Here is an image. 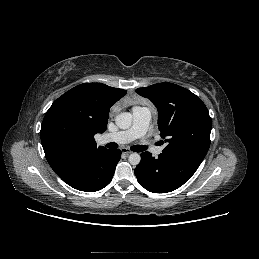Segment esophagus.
Returning a JSON list of instances; mask_svg holds the SVG:
<instances>
[{
    "mask_svg": "<svg viewBox=\"0 0 259 259\" xmlns=\"http://www.w3.org/2000/svg\"><path fill=\"white\" fill-rule=\"evenodd\" d=\"M122 153L125 154V155H129L132 153V151L128 148H122L121 149Z\"/></svg>",
    "mask_w": 259,
    "mask_h": 259,
    "instance_id": "esophagus-1",
    "label": "esophagus"
}]
</instances>
